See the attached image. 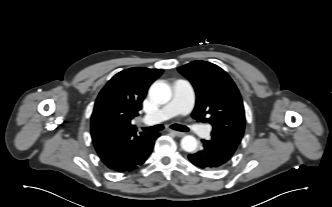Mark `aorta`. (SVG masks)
Segmentation results:
<instances>
[{"mask_svg":"<svg viewBox=\"0 0 332 207\" xmlns=\"http://www.w3.org/2000/svg\"><path fill=\"white\" fill-rule=\"evenodd\" d=\"M170 87L161 81L153 83L149 89V97L158 104H165L171 99ZM197 140L191 135L184 136L181 140V148L186 152H193L197 148Z\"/></svg>","mask_w":332,"mask_h":207,"instance_id":"762f6f07","label":"aorta"}]
</instances>
